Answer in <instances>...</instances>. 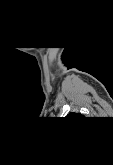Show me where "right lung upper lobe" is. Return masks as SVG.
Masks as SVG:
<instances>
[{
  "instance_id": "cb5924a9",
  "label": "right lung upper lobe",
  "mask_w": 113,
  "mask_h": 165,
  "mask_svg": "<svg viewBox=\"0 0 113 165\" xmlns=\"http://www.w3.org/2000/svg\"><path fill=\"white\" fill-rule=\"evenodd\" d=\"M67 117L82 118L83 116L79 113H70Z\"/></svg>"
}]
</instances>
